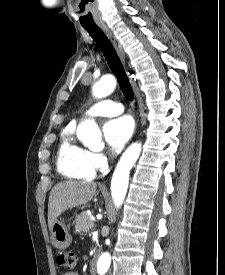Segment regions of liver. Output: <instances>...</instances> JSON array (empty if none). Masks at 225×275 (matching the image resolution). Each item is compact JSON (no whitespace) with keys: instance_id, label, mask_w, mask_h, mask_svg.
<instances>
[{"instance_id":"obj_1","label":"liver","mask_w":225,"mask_h":275,"mask_svg":"<svg viewBox=\"0 0 225 275\" xmlns=\"http://www.w3.org/2000/svg\"><path fill=\"white\" fill-rule=\"evenodd\" d=\"M97 184L87 181H64L56 184L49 195L48 226L66 210L91 201L96 194Z\"/></svg>"}]
</instances>
